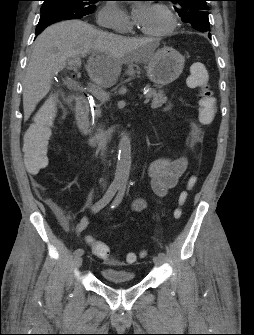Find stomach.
Returning a JSON list of instances; mask_svg holds the SVG:
<instances>
[{
    "instance_id": "1",
    "label": "stomach",
    "mask_w": 254,
    "mask_h": 335,
    "mask_svg": "<svg viewBox=\"0 0 254 335\" xmlns=\"http://www.w3.org/2000/svg\"><path fill=\"white\" fill-rule=\"evenodd\" d=\"M185 58L172 47H163L150 55L146 63L148 78L156 87L175 81L184 69Z\"/></svg>"
}]
</instances>
